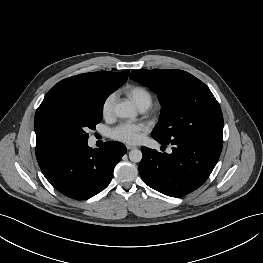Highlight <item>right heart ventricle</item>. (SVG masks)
Returning a JSON list of instances; mask_svg holds the SVG:
<instances>
[{"label":"right heart ventricle","mask_w":263,"mask_h":263,"mask_svg":"<svg viewBox=\"0 0 263 263\" xmlns=\"http://www.w3.org/2000/svg\"><path fill=\"white\" fill-rule=\"evenodd\" d=\"M122 92L140 109L146 110L153 103L152 92L141 85L128 84L123 87Z\"/></svg>","instance_id":"1"}]
</instances>
